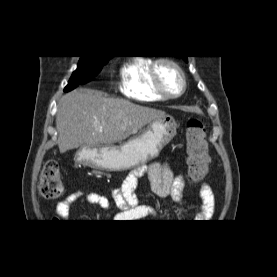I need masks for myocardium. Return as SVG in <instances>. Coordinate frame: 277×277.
Listing matches in <instances>:
<instances>
[{
  "instance_id": "f54148a6",
  "label": "myocardium",
  "mask_w": 277,
  "mask_h": 277,
  "mask_svg": "<svg viewBox=\"0 0 277 277\" xmlns=\"http://www.w3.org/2000/svg\"><path fill=\"white\" fill-rule=\"evenodd\" d=\"M160 64H167V65L173 67L175 69V71L178 73V75L181 79V83H182L181 89L179 90V92L171 94V93H168L163 88L161 81H160L159 73H158V68H159ZM150 72H151V79H152V85H153L154 90L160 96H162L164 99L177 98L186 91L187 79H186L184 70H183L182 66L178 62H176L174 59H172L170 57L158 58L157 60L152 62Z\"/></svg>"
}]
</instances>
